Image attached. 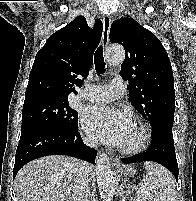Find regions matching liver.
<instances>
[{
  "label": "liver",
  "mask_w": 196,
  "mask_h": 201,
  "mask_svg": "<svg viewBox=\"0 0 196 201\" xmlns=\"http://www.w3.org/2000/svg\"><path fill=\"white\" fill-rule=\"evenodd\" d=\"M78 160L59 155L33 160L19 170L14 181L15 201H73ZM87 166L88 176L93 167Z\"/></svg>",
  "instance_id": "1"
}]
</instances>
